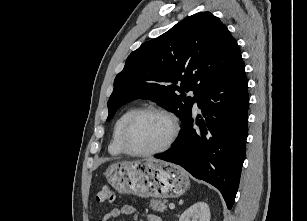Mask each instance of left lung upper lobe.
<instances>
[{"mask_svg":"<svg viewBox=\"0 0 307 221\" xmlns=\"http://www.w3.org/2000/svg\"><path fill=\"white\" fill-rule=\"evenodd\" d=\"M239 55L236 40L218 17L196 13L128 56L114 80L107 120L127 102L150 98L184 123L193 103L228 72ZM190 90L194 97H186Z\"/></svg>","mask_w":307,"mask_h":221,"instance_id":"obj_1","label":"left lung upper lobe"}]
</instances>
